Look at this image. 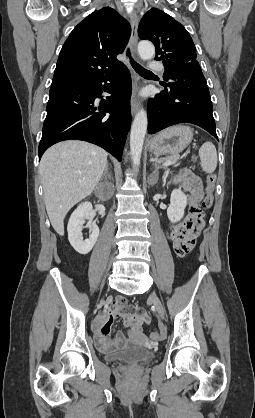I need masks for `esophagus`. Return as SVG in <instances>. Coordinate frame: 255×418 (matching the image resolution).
Segmentation results:
<instances>
[{"label":"esophagus","mask_w":255,"mask_h":418,"mask_svg":"<svg viewBox=\"0 0 255 418\" xmlns=\"http://www.w3.org/2000/svg\"><path fill=\"white\" fill-rule=\"evenodd\" d=\"M130 24H131V38H130V45H131V51L133 54L136 53V48H137V41H138V36H137V29H138V19L136 14H131L130 16ZM137 81L136 78H134V84H133V93H132V98H131V112L134 115L138 109H139V102L137 99Z\"/></svg>","instance_id":"obj_1"}]
</instances>
